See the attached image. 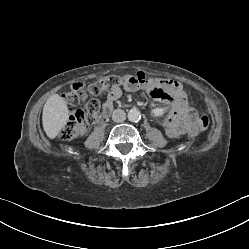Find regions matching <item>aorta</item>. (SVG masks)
Returning a JSON list of instances; mask_svg holds the SVG:
<instances>
[{
    "label": "aorta",
    "mask_w": 249,
    "mask_h": 249,
    "mask_svg": "<svg viewBox=\"0 0 249 249\" xmlns=\"http://www.w3.org/2000/svg\"><path fill=\"white\" fill-rule=\"evenodd\" d=\"M128 119L131 122H138L141 119L140 111L138 109H135V108L131 109L128 112Z\"/></svg>",
    "instance_id": "aorta-1"
}]
</instances>
